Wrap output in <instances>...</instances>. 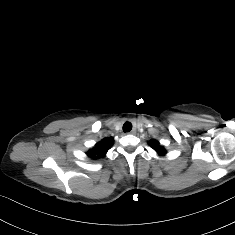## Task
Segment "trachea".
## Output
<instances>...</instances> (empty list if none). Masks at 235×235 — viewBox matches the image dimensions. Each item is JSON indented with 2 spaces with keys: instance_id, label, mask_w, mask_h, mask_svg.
I'll return each instance as SVG.
<instances>
[{
  "instance_id": "obj_1",
  "label": "trachea",
  "mask_w": 235,
  "mask_h": 235,
  "mask_svg": "<svg viewBox=\"0 0 235 235\" xmlns=\"http://www.w3.org/2000/svg\"><path fill=\"white\" fill-rule=\"evenodd\" d=\"M132 129V124L130 122H125L123 125V131L129 132Z\"/></svg>"
}]
</instances>
